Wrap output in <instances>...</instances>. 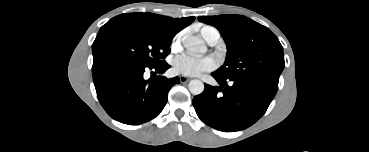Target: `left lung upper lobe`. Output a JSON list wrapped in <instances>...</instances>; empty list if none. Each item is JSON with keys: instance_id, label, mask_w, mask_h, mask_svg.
Returning <instances> with one entry per match:
<instances>
[{"instance_id": "1", "label": "left lung upper lobe", "mask_w": 369, "mask_h": 152, "mask_svg": "<svg viewBox=\"0 0 369 152\" xmlns=\"http://www.w3.org/2000/svg\"><path fill=\"white\" fill-rule=\"evenodd\" d=\"M198 19L216 27L227 44L225 63L215 74L278 83L285 66L283 47L267 27L239 15L199 16Z\"/></svg>"}]
</instances>
